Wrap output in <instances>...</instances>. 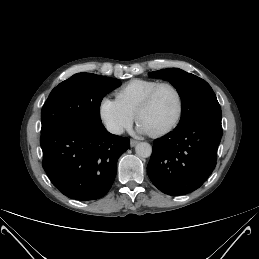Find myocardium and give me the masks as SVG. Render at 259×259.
Here are the masks:
<instances>
[{
    "label": "myocardium",
    "instance_id": "1",
    "mask_svg": "<svg viewBox=\"0 0 259 259\" xmlns=\"http://www.w3.org/2000/svg\"><path fill=\"white\" fill-rule=\"evenodd\" d=\"M164 87L170 88L175 93V95L177 97V101H178V110H177V114H176L174 120L168 126H166L165 128H163L159 131L149 132V134L152 137H161V136H164V135L172 132L181 122L183 113H184V99H183V95H182L180 89L171 82H160L156 86H154L142 100V102L137 110V113H136L137 123L140 124L142 115L152 104L156 93L161 88H164Z\"/></svg>",
    "mask_w": 259,
    "mask_h": 259
}]
</instances>
